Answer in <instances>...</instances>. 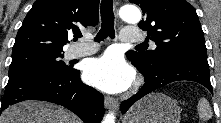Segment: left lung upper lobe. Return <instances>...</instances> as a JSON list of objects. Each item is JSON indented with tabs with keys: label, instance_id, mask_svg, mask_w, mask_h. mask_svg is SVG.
Segmentation results:
<instances>
[{
	"label": "left lung upper lobe",
	"instance_id": "left-lung-upper-lobe-1",
	"mask_svg": "<svg viewBox=\"0 0 221 123\" xmlns=\"http://www.w3.org/2000/svg\"><path fill=\"white\" fill-rule=\"evenodd\" d=\"M143 11L138 23L157 48L149 51H129L127 58L151 68L167 62L193 58L207 62L203 31L192 5L186 0H130Z\"/></svg>",
	"mask_w": 221,
	"mask_h": 123
}]
</instances>
